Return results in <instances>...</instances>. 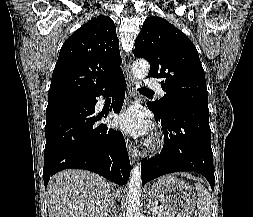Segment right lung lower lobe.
Listing matches in <instances>:
<instances>
[{
	"mask_svg": "<svg viewBox=\"0 0 253 217\" xmlns=\"http://www.w3.org/2000/svg\"><path fill=\"white\" fill-rule=\"evenodd\" d=\"M125 78L117 76L106 88L82 101L46 109L45 187L51 176L64 169H86L124 185L130 176V161L120 131L108 129L95 116L96 97L113 96L111 110L120 112L125 96Z\"/></svg>",
	"mask_w": 253,
	"mask_h": 217,
	"instance_id": "right-lung-lower-lobe-1",
	"label": "right lung lower lobe"
}]
</instances>
